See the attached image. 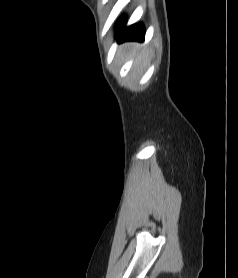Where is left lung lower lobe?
<instances>
[{
  "instance_id": "left-lung-lower-lobe-1",
  "label": "left lung lower lobe",
  "mask_w": 238,
  "mask_h": 278,
  "mask_svg": "<svg viewBox=\"0 0 238 278\" xmlns=\"http://www.w3.org/2000/svg\"><path fill=\"white\" fill-rule=\"evenodd\" d=\"M122 18L116 30V37L118 42L123 41H143L145 36L144 26L140 24H133L129 27H125Z\"/></svg>"
}]
</instances>
